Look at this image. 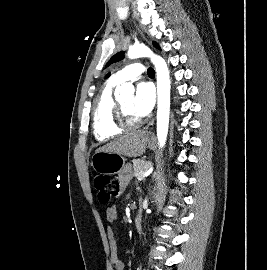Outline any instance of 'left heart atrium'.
Segmentation results:
<instances>
[{"instance_id":"left-heart-atrium-1","label":"left heart atrium","mask_w":267,"mask_h":270,"mask_svg":"<svg viewBox=\"0 0 267 270\" xmlns=\"http://www.w3.org/2000/svg\"><path fill=\"white\" fill-rule=\"evenodd\" d=\"M154 100L155 95L152 85L147 82L139 83L132 104L134 114L138 117L146 116L152 110Z\"/></svg>"}]
</instances>
